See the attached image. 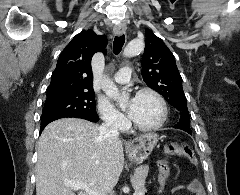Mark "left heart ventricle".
Segmentation results:
<instances>
[{"mask_svg": "<svg viewBox=\"0 0 240 195\" xmlns=\"http://www.w3.org/2000/svg\"><path fill=\"white\" fill-rule=\"evenodd\" d=\"M127 109L132 121L141 126L155 123L160 116L159 103L150 94L135 97L132 105L128 103Z\"/></svg>", "mask_w": 240, "mask_h": 195, "instance_id": "obj_1", "label": "left heart ventricle"}]
</instances>
